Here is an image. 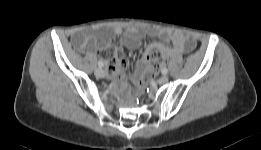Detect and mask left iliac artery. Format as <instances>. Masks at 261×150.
Segmentation results:
<instances>
[{"label": "left iliac artery", "mask_w": 261, "mask_h": 150, "mask_svg": "<svg viewBox=\"0 0 261 150\" xmlns=\"http://www.w3.org/2000/svg\"><path fill=\"white\" fill-rule=\"evenodd\" d=\"M162 73H163V74H167V73H168L167 68H163V69H162Z\"/></svg>", "instance_id": "1"}]
</instances>
